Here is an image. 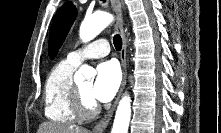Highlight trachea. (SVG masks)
I'll return each instance as SVG.
<instances>
[{
  "mask_svg": "<svg viewBox=\"0 0 221 133\" xmlns=\"http://www.w3.org/2000/svg\"><path fill=\"white\" fill-rule=\"evenodd\" d=\"M113 44H114L116 50H118V51L121 50V48H122V38L120 37V35H115L113 37Z\"/></svg>",
  "mask_w": 221,
  "mask_h": 133,
  "instance_id": "obj_1",
  "label": "trachea"
}]
</instances>
